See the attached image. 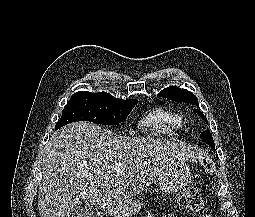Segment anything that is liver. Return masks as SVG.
Listing matches in <instances>:
<instances>
[{
	"label": "liver",
	"instance_id": "6515ba94",
	"mask_svg": "<svg viewBox=\"0 0 255 217\" xmlns=\"http://www.w3.org/2000/svg\"><path fill=\"white\" fill-rule=\"evenodd\" d=\"M182 143L123 137L89 122L68 124L44 147L39 187L41 217H68L79 202L130 199L176 164L195 158ZM120 164V171L112 170Z\"/></svg>",
	"mask_w": 255,
	"mask_h": 217
}]
</instances>
